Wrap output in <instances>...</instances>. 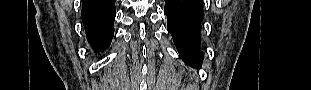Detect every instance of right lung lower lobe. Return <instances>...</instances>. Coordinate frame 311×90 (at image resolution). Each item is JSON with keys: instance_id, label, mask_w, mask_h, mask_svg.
<instances>
[{"instance_id": "1", "label": "right lung lower lobe", "mask_w": 311, "mask_h": 90, "mask_svg": "<svg viewBox=\"0 0 311 90\" xmlns=\"http://www.w3.org/2000/svg\"><path fill=\"white\" fill-rule=\"evenodd\" d=\"M115 0H82V21L95 51L106 49L114 33Z\"/></svg>"}]
</instances>
